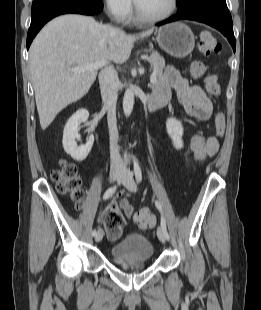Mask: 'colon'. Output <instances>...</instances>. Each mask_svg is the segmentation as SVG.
I'll use <instances>...</instances> for the list:
<instances>
[{
  "label": "colon",
  "instance_id": "5ec220e1",
  "mask_svg": "<svg viewBox=\"0 0 261 310\" xmlns=\"http://www.w3.org/2000/svg\"><path fill=\"white\" fill-rule=\"evenodd\" d=\"M198 50L203 56L219 54L221 44L216 37L209 31L200 34ZM206 65L199 60L193 61L190 65V74L193 79H198L204 75ZM205 88L209 95L218 97L221 93L216 75L208 74L205 79ZM215 136L220 138L225 132V119L222 113H218L214 119ZM51 178L56 184L59 193L67 195L77 207H80L83 200L82 181L78 175L77 167L70 162L61 161L59 167L51 173ZM119 202L111 200L106 208L103 209L101 221L111 239H117L121 235L122 228L126 225L123 215L119 210ZM133 220L142 229L154 226L156 219L147 209L137 211Z\"/></svg>",
  "mask_w": 261,
  "mask_h": 310
}]
</instances>
